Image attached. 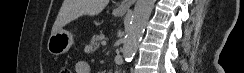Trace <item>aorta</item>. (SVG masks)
<instances>
[{
	"label": "aorta",
	"mask_w": 244,
	"mask_h": 73,
	"mask_svg": "<svg viewBox=\"0 0 244 73\" xmlns=\"http://www.w3.org/2000/svg\"><path fill=\"white\" fill-rule=\"evenodd\" d=\"M154 3L155 0H137L135 4L123 45V56L127 62H130L135 55L138 42L154 8Z\"/></svg>",
	"instance_id": "1"
}]
</instances>
